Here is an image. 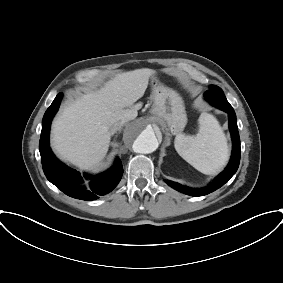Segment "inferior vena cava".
<instances>
[{"label":"inferior vena cava","mask_w":283,"mask_h":283,"mask_svg":"<svg viewBox=\"0 0 283 283\" xmlns=\"http://www.w3.org/2000/svg\"><path fill=\"white\" fill-rule=\"evenodd\" d=\"M123 124H124L123 122H116V123H114V124L111 126L110 131H111L112 133L117 132L118 130H120V129L122 128Z\"/></svg>","instance_id":"1"}]
</instances>
